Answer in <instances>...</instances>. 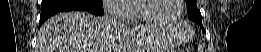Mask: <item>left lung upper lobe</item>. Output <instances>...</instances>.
<instances>
[{"label": "left lung upper lobe", "instance_id": "1", "mask_svg": "<svg viewBox=\"0 0 261 52\" xmlns=\"http://www.w3.org/2000/svg\"><path fill=\"white\" fill-rule=\"evenodd\" d=\"M197 0H186L187 10H188V18L192 21L197 22L202 26L201 13L198 10L196 5Z\"/></svg>", "mask_w": 261, "mask_h": 52}]
</instances>
